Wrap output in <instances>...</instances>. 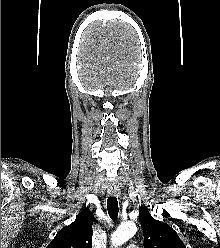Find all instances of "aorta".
Masks as SVG:
<instances>
[{
    "instance_id": "aorta-1",
    "label": "aorta",
    "mask_w": 220,
    "mask_h": 248,
    "mask_svg": "<svg viewBox=\"0 0 220 248\" xmlns=\"http://www.w3.org/2000/svg\"><path fill=\"white\" fill-rule=\"evenodd\" d=\"M137 232L135 223L129 221L122 223L116 231L112 234L111 241L114 247L120 246L130 238H132Z\"/></svg>"
}]
</instances>
